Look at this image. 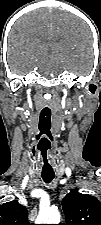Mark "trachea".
Instances as JSON below:
<instances>
[{
    "label": "trachea",
    "mask_w": 101,
    "mask_h": 225,
    "mask_svg": "<svg viewBox=\"0 0 101 225\" xmlns=\"http://www.w3.org/2000/svg\"><path fill=\"white\" fill-rule=\"evenodd\" d=\"M54 178V175H50V176H42V179L44 180V182L46 184L50 183Z\"/></svg>",
    "instance_id": "obj_1"
}]
</instances>
